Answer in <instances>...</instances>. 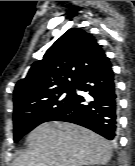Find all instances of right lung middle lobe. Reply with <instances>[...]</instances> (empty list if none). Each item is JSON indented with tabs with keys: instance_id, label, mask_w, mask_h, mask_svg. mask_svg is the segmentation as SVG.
Instances as JSON below:
<instances>
[{
	"instance_id": "dd1d6c3e",
	"label": "right lung middle lobe",
	"mask_w": 135,
	"mask_h": 166,
	"mask_svg": "<svg viewBox=\"0 0 135 166\" xmlns=\"http://www.w3.org/2000/svg\"><path fill=\"white\" fill-rule=\"evenodd\" d=\"M75 87L65 89L43 100L14 109V142L39 124L51 121L55 115L68 108L75 98Z\"/></svg>"
}]
</instances>
